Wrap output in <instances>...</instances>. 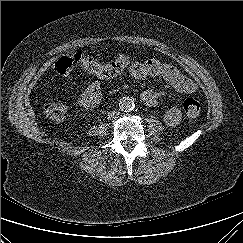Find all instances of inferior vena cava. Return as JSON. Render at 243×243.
I'll return each instance as SVG.
<instances>
[{"label": "inferior vena cava", "mask_w": 243, "mask_h": 243, "mask_svg": "<svg viewBox=\"0 0 243 243\" xmlns=\"http://www.w3.org/2000/svg\"><path fill=\"white\" fill-rule=\"evenodd\" d=\"M119 114H120L119 111L113 110L108 113L107 118L110 120H114L119 117Z\"/></svg>", "instance_id": "inferior-vena-cava-1"}]
</instances>
